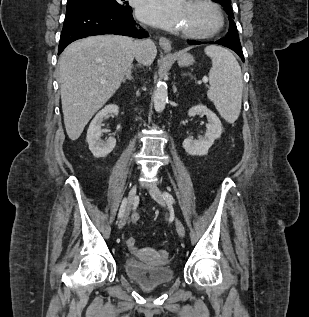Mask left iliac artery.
<instances>
[{"label": "left iliac artery", "instance_id": "1", "mask_svg": "<svg viewBox=\"0 0 309 317\" xmlns=\"http://www.w3.org/2000/svg\"><path fill=\"white\" fill-rule=\"evenodd\" d=\"M163 197L167 201V203H169V204L175 203V199L173 198V196L170 193L163 192Z\"/></svg>", "mask_w": 309, "mask_h": 317}]
</instances>
